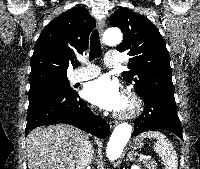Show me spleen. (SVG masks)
Segmentation results:
<instances>
[{"mask_svg":"<svg viewBox=\"0 0 200 169\" xmlns=\"http://www.w3.org/2000/svg\"><path fill=\"white\" fill-rule=\"evenodd\" d=\"M140 138H153L157 142L154 146L155 152L159 155L161 160L164 162L166 169H177L178 168V158L176 151L170 141L166 138L164 134L159 131H147L139 136Z\"/></svg>","mask_w":200,"mask_h":169,"instance_id":"1","label":"spleen"}]
</instances>
